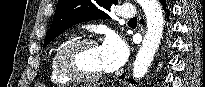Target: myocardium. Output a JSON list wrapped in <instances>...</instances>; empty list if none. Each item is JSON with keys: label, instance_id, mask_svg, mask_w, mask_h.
Instances as JSON below:
<instances>
[{"label": "myocardium", "instance_id": "1", "mask_svg": "<svg viewBox=\"0 0 205 87\" xmlns=\"http://www.w3.org/2000/svg\"><path fill=\"white\" fill-rule=\"evenodd\" d=\"M85 45L99 47L98 42L93 38L81 37L70 39L58 49L55 56V63L59 73L65 78L75 82L92 83L99 80L103 76V70L94 75H83L67 63L68 54L74 49Z\"/></svg>", "mask_w": 205, "mask_h": 87}]
</instances>
